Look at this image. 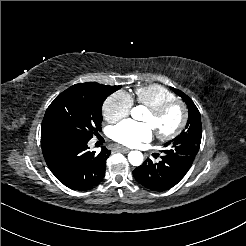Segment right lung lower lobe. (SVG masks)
<instances>
[{
    "mask_svg": "<svg viewBox=\"0 0 246 246\" xmlns=\"http://www.w3.org/2000/svg\"><path fill=\"white\" fill-rule=\"evenodd\" d=\"M88 141L50 139L41 141L42 152L55 177L73 190L85 191L104 177L110 150H88Z\"/></svg>",
    "mask_w": 246,
    "mask_h": 246,
    "instance_id": "98d812e1",
    "label": "right lung lower lobe"
}]
</instances>
